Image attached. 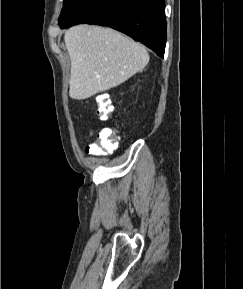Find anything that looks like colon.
<instances>
[{
  "label": "colon",
  "instance_id": "1",
  "mask_svg": "<svg viewBox=\"0 0 243 289\" xmlns=\"http://www.w3.org/2000/svg\"><path fill=\"white\" fill-rule=\"evenodd\" d=\"M95 111L101 120H107L111 116L113 106L106 94L97 96ZM117 144L116 131L113 128L107 127L102 129L96 139L87 146V152L93 155H101L115 150Z\"/></svg>",
  "mask_w": 243,
  "mask_h": 289
}]
</instances>
